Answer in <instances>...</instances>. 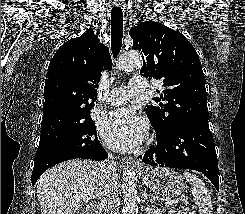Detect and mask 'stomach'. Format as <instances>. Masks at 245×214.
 Segmentation results:
<instances>
[{
    "label": "stomach",
    "instance_id": "obj_1",
    "mask_svg": "<svg viewBox=\"0 0 245 214\" xmlns=\"http://www.w3.org/2000/svg\"><path fill=\"white\" fill-rule=\"evenodd\" d=\"M141 177L150 190L167 197H177L187 188L184 178L169 168H147Z\"/></svg>",
    "mask_w": 245,
    "mask_h": 214
}]
</instances>
